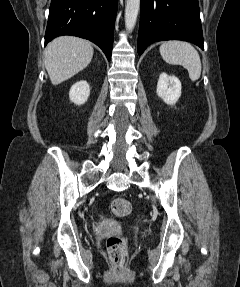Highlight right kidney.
I'll use <instances>...</instances> for the list:
<instances>
[{"label": "right kidney", "instance_id": "1", "mask_svg": "<svg viewBox=\"0 0 240 287\" xmlns=\"http://www.w3.org/2000/svg\"><path fill=\"white\" fill-rule=\"evenodd\" d=\"M90 95V87L87 81L80 80L72 85L69 91V98L71 102L76 105L84 104Z\"/></svg>", "mask_w": 240, "mask_h": 287}]
</instances>
